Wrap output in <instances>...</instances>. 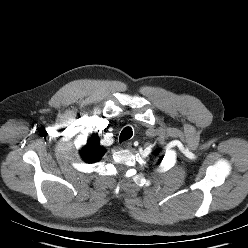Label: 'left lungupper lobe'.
Segmentation results:
<instances>
[{"mask_svg": "<svg viewBox=\"0 0 248 248\" xmlns=\"http://www.w3.org/2000/svg\"><path fill=\"white\" fill-rule=\"evenodd\" d=\"M157 152H158V151H156V153H157ZM161 160H162V157L160 158L159 163L161 162ZM159 163H158V164H159Z\"/></svg>", "mask_w": 248, "mask_h": 248, "instance_id": "1", "label": "left lung upper lobe"}]
</instances>
